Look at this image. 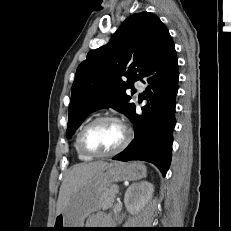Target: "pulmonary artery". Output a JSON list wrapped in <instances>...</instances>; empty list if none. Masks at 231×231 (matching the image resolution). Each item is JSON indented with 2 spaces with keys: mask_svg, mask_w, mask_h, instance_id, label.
<instances>
[{
  "mask_svg": "<svg viewBox=\"0 0 231 231\" xmlns=\"http://www.w3.org/2000/svg\"><path fill=\"white\" fill-rule=\"evenodd\" d=\"M135 87L140 91H144L145 90V84L142 81H137L135 82Z\"/></svg>",
  "mask_w": 231,
  "mask_h": 231,
  "instance_id": "pulmonary-artery-1",
  "label": "pulmonary artery"
}]
</instances>
